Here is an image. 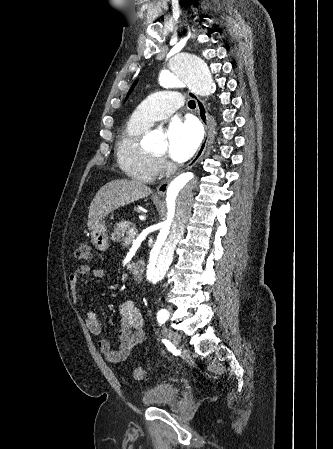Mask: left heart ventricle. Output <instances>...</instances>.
Instances as JSON below:
<instances>
[{"instance_id": "b2bd125f", "label": "left heart ventricle", "mask_w": 333, "mask_h": 449, "mask_svg": "<svg viewBox=\"0 0 333 449\" xmlns=\"http://www.w3.org/2000/svg\"><path fill=\"white\" fill-rule=\"evenodd\" d=\"M165 152V145L161 147L160 150L157 151V153H164Z\"/></svg>"}]
</instances>
